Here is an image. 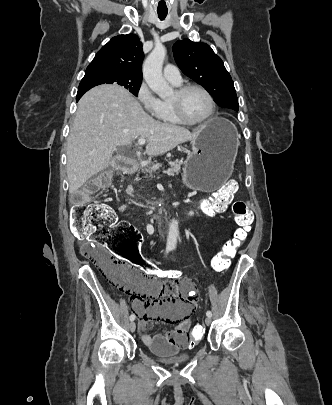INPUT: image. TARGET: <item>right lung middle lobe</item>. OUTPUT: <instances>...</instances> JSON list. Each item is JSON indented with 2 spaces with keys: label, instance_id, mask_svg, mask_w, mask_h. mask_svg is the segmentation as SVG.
<instances>
[{
  "label": "right lung middle lobe",
  "instance_id": "dd1d6c3e",
  "mask_svg": "<svg viewBox=\"0 0 332 405\" xmlns=\"http://www.w3.org/2000/svg\"><path fill=\"white\" fill-rule=\"evenodd\" d=\"M142 79L128 76L121 72L99 70L85 73L78 88V93H85L100 84H118L137 96Z\"/></svg>",
  "mask_w": 332,
  "mask_h": 405
}]
</instances>
